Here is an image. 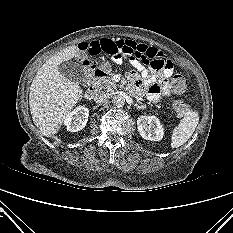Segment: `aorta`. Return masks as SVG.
I'll return each instance as SVG.
<instances>
[{"label":"aorta","instance_id":"1","mask_svg":"<svg viewBox=\"0 0 233 233\" xmlns=\"http://www.w3.org/2000/svg\"><path fill=\"white\" fill-rule=\"evenodd\" d=\"M112 103L118 108L123 107L125 105V98L120 94L115 95L112 99Z\"/></svg>","mask_w":233,"mask_h":233}]
</instances>
